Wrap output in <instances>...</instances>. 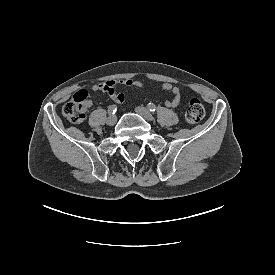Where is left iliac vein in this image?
<instances>
[{"mask_svg":"<svg viewBox=\"0 0 275 275\" xmlns=\"http://www.w3.org/2000/svg\"><path fill=\"white\" fill-rule=\"evenodd\" d=\"M135 111L140 115L142 116L143 118H145L146 120L148 121H152L154 118H153V115L149 112L148 109L144 108V107H137L135 109Z\"/></svg>","mask_w":275,"mask_h":275,"instance_id":"4c4485c4","label":"left iliac vein"}]
</instances>
